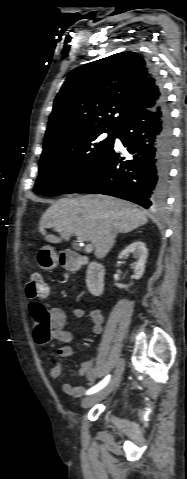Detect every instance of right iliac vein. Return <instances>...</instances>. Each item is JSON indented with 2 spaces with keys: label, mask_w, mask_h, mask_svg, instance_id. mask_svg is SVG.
<instances>
[{
  "label": "right iliac vein",
  "mask_w": 187,
  "mask_h": 479,
  "mask_svg": "<svg viewBox=\"0 0 187 479\" xmlns=\"http://www.w3.org/2000/svg\"><path fill=\"white\" fill-rule=\"evenodd\" d=\"M124 366V361L120 359L117 363L114 375L110 382L107 384V386L104 387L101 391L84 398L82 401V407L88 408L108 396L119 384L122 374L124 372Z\"/></svg>",
  "instance_id": "right-iliac-vein-1"
}]
</instances>
